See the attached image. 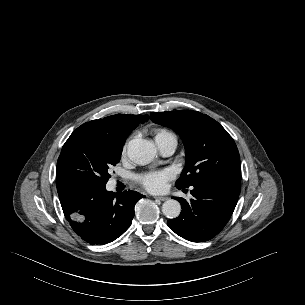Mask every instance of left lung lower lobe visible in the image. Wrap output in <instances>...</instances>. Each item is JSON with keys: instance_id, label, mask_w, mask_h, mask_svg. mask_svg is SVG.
I'll list each match as a JSON object with an SVG mask.
<instances>
[{"instance_id": "obj_1", "label": "left lung lower lobe", "mask_w": 305, "mask_h": 305, "mask_svg": "<svg viewBox=\"0 0 305 305\" xmlns=\"http://www.w3.org/2000/svg\"><path fill=\"white\" fill-rule=\"evenodd\" d=\"M191 194L194 198L190 202L176 198L183 210L167 224L186 240H210L224 228L235 209L240 194V175L208 178L194 185Z\"/></svg>"}]
</instances>
